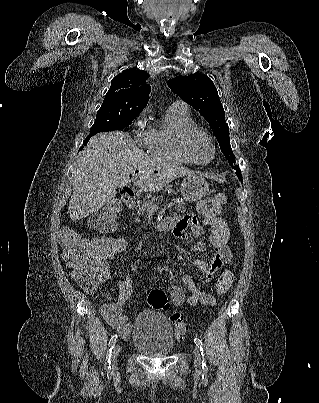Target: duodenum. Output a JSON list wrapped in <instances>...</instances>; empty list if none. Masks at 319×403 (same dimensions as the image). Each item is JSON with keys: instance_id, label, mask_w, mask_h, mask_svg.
I'll return each mask as SVG.
<instances>
[{"instance_id": "duodenum-1", "label": "duodenum", "mask_w": 319, "mask_h": 403, "mask_svg": "<svg viewBox=\"0 0 319 403\" xmlns=\"http://www.w3.org/2000/svg\"><path fill=\"white\" fill-rule=\"evenodd\" d=\"M122 200L129 208H137L140 206V200L136 197L133 191H127L123 194ZM175 224L173 218H166L156 223L153 227L155 232H166L174 230Z\"/></svg>"}]
</instances>
